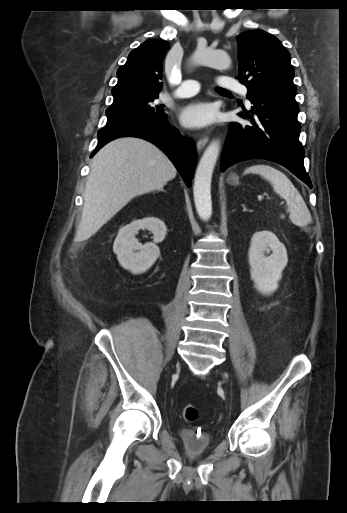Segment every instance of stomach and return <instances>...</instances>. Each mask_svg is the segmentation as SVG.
<instances>
[{
    "mask_svg": "<svg viewBox=\"0 0 347 513\" xmlns=\"http://www.w3.org/2000/svg\"><path fill=\"white\" fill-rule=\"evenodd\" d=\"M232 181L236 184L238 182V178L236 176H233Z\"/></svg>",
    "mask_w": 347,
    "mask_h": 513,
    "instance_id": "1",
    "label": "stomach"
}]
</instances>
